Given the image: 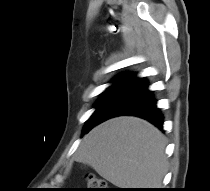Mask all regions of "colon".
Segmentation results:
<instances>
[{"label":"colon","mask_w":210,"mask_h":191,"mask_svg":"<svg viewBox=\"0 0 210 191\" xmlns=\"http://www.w3.org/2000/svg\"><path fill=\"white\" fill-rule=\"evenodd\" d=\"M83 191H113L100 177L90 174L87 176V187Z\"/></svg>","instance_id":"1"}]
</instances>
